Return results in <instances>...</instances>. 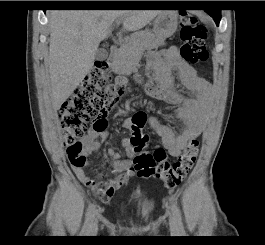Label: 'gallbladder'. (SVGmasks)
<instances>
[{"label":"gallbladder","instance_id":"bac80fb5","mask_svg":"<svg viewBox=\"0 0 265 245\" xmlns=\"http://www.w3.org/2000/svg\"><path fill=\"white\" fill-rule=\"evenodd\" d=\"M108 56V52L105 48H99L95 53V59L102 61L106 59Z\"/></svg>","mask_w":265,"mask_h":245}]
</instances>
